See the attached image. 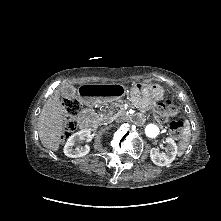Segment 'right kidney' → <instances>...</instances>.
<instances>
[{"mask_svg":"<svg viewBox=\"0 0 221 221\" xmlns=\"http://www.w3.org/2000/svg\"><path fill=\"white\" fill-rule=\"evenodd\" d=\"M91 137V132L89 130H81L73 135H71L65 146H64V154L70 158H78L83 157L87 155L90 151V148L88 145L79 146L77 143L86 140L89 141Z\"/></svg>","mask_w":221,"mask_h":221,"instance_id":"right-kidney-1","label":"right kidney"}]
</instances>
